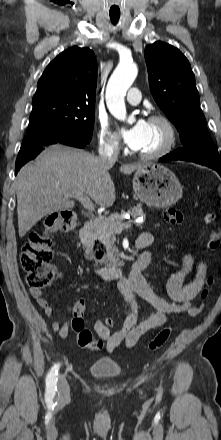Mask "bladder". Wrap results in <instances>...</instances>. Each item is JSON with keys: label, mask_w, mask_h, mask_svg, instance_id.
<instances>
[{"label": "bladder", "mask_w": 221, "mask_h": 440, "mask_svg": "<svg viewBox=\"0 0 221 440\" xmlns=\"http://www.w3.org/2000/svg\"><path fill=\"white\" fill-rule=\"evenodd\" d=\"M89 372L99 379L111 380L120 376L122 368L121 365L113 359L98 358L91 363Z\"/></svg>", "instance_id": "1"}]
</instances>
